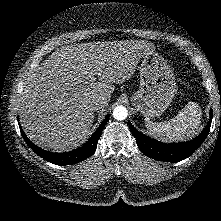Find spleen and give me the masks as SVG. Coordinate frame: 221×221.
<instances>
[{
    "label": "spleen",
    "instance_id": "spleen-1",
    "mask_svg": "<svg viewBox=\"0 0 221 221\" xmlns=\"http://www.w3.org/2000/svg\"><path fill=\"white\" fill-rule=\"evenodd\" d=\"M201 108L194 102L187 105L171 120L155 123L149 118L145 119V124L149 132L156 138L175 142L192 138L200 125Z\"/></svg>",
    "mask_w": 221,
    "mask_h": 221
}]
</instances>
